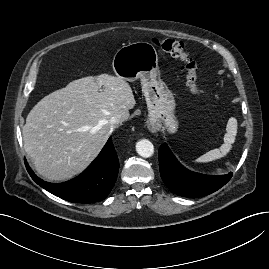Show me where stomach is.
Here are the masks:
<instances>
[{"label": "stomach", "instance_id": "1", "mask_svg": "<svg viewBox=\"0 0 269 269\" xmlns=\"http://www.w3.org/2000/svg\"><path fill=\"white\" fill-rule=\"evenodd\" d=\"M118 77L133 82L140 79L149 111V120L173 134L178 129L175 99L160 78L158 54L149 42L129 43L118 49L112 61Z\"/></svg>", "mask_w": 269, "mask_h": 269}]
</instances>
